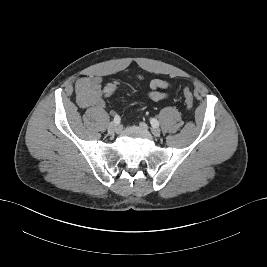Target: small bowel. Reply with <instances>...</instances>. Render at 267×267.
Segmentation results:
<instances>
[{
  "instance_id": "small-bowel-1",
  "label": "small bowel",
  "mask_w": 267,
  "mask_h": 267,
  "mask_svg": "<svg viewBox=\"0 0 267 267\" xmlns=\"http://www.w3.org/2000/svg\"><path fill=\"white\" fill-rule=\"evenodd\" d=\"M143 79L141 75L137 76ZM103 78L101 76H85L79 78L75 83L76 101L80 108L88 107L103 108L105 100L102 92ZM148 96L153 101H161L167 97L166 91L170 84L162 79H153L150 84Z\"/></svg>"
}]
</instances>
